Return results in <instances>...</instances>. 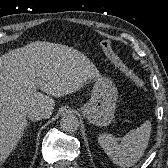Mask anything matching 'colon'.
<instances>
[{
  "label": "colon",
  "mask_w": 168,
  "mask_h": 168,
  "mask_svg": "<svg viewBox=\"0 0 168 168\" xmlns=\"http://www.w3.org/2000/svg\"><path fill=\"white\" fill-rule=\"evenodd\" d=\"M100 45L107 58L112 62V64L116 68H118L130 79V81L133 83L135 87L140 89L144 87V82L137 75H135L129 68H127L122 62V60L119 58V56L116 54L110 39H103L100 42Z\"/></svg>",
  "instance_id": "5ec220e1"
}]
</instances>
